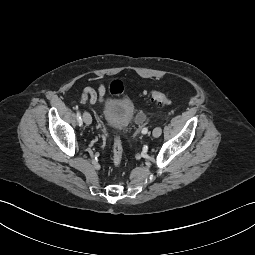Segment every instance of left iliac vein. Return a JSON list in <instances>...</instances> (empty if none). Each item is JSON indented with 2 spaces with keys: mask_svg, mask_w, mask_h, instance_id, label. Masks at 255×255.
Wrapping results in <instances>:
<instances>
[{
  "mask_svg": "<svg viewBox=\"0 0 255 255\" xmlns=\"http://www.w3.org/2000/svg\"><path fill=\"white\" fill-rule=\"evenodd\" d=\"M161 133H162V129H161V127H156L154 130H153V136L154 137H159L160 135H161Z\"/></svg>",
  "mask_w": 255,
  "mask_h": 255,
  "instance_id": "obj_1",
  "label": "left iliac vein"
}]
</instances>
